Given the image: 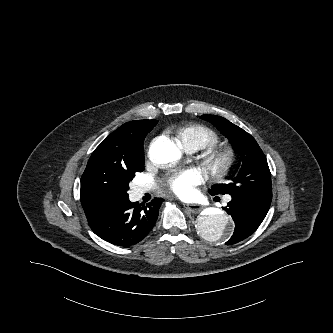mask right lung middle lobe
Segmentation results:
<instances>
[{
    "label": "right lung middle lobe",
    "instance_id": "obj_1",
    "mask_svg": "<svg viewBox=\"0 0 333 333\" xmlns=\"http://www.w3.org/2000/svg\"><path fill=\"white\" fill-rule=\"evenodd\" d=\"M144 136L157 124V120H144ZM143 170V154L126 161L115 163L104 161L93 166L89 183L95 194L107 200L116 201L128 197L129 182L136 172Z\"/></svg>",
    "mask_w": 333,
    "mask_h": 333
}]
</instances>
